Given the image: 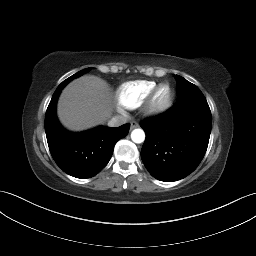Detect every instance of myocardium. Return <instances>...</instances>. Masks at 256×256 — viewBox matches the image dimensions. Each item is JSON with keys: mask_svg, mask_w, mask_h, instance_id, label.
Instances as JSON below:
<instances>
[{"mask_svg": "<svg viewBox=\"0 0 256 256\" xmlns=\"http://www.w3.org/2000/svg\"><path fill=\"white\" fill-rule=\"evenodd\" d=\"M163 88H168L169 93L165 100L159 101L158 95ZM174 99L173 88L168 83L157 85L145 100L143 111L151 116L159 115L166 112L172 105Z\"/></svg>", "mask_w": 256, "mask_h": 256, "instance_id": "myocardium-1", "label": "myocardium"}]
</instances>
